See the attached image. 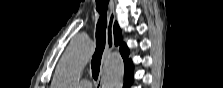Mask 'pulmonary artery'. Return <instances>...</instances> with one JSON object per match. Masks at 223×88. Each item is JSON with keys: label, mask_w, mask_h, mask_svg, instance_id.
<instances>
[{"label": "pulmonary artery", "mask_w": 223, "mask_h": 88, "mask_svg": "<svg viewBox=\"0 0 223 88\" xmlns=\"http://www.w3.org/2000/svg\"><path fill=\"white\" fill-rule=\"evenodd\" d=\"M78 85L80 88H90L91 87L90 81L85 80V79L80 81Z\"/></svg>", "instance_id": "e3ab8cb5"}]
</instances>
